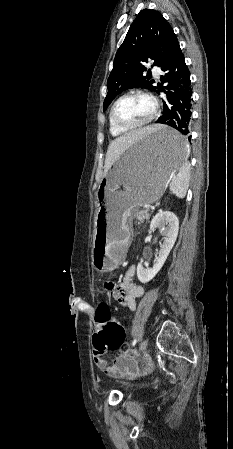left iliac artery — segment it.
<instances>
[{
	"label": "left iliac artery",
	"mask_w": 233,
	"mask_h": 449,
	"mask_svg": "<svg viewBox=\"0 0 233 449\" xmlns=\"http://www.w3.org/2000/svg\"><path fill=\"white\" fill-rule=\"evenodd\" d=\"M137 341H138V338H135V339L133 340L132 345L134 346V345L137 343Z\"/></svg>",
	"instance_id": "left-iliac-artery-1"
}]
</instances>
